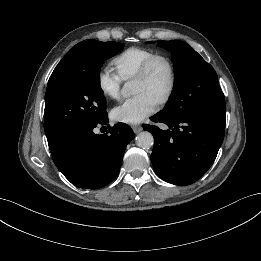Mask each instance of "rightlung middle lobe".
<instances>
[{"mask_svg":"<svg viewBox=\"0 0 261 261\" xmlns=\"http://www.w3.org/2000/svg\"><path fill=\"white\" fill-rule=\"evenodd\" d=\"M123 46L114 41L85 40L70 49L63 63L56 66L45 94L44 130L49 146L107 117L100 68Z\"/></svg>","mask_w":261,"mask_h":261,"instance_id":"1","label":"right lung middle lobe"}]
</instances>
